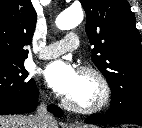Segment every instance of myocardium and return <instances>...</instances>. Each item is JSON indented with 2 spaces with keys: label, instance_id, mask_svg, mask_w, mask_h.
<instances>
[{
  "label": "myocardium",
  "instance_id": "f54148a6",
  "mask_svg": "<svg viewBox=\"0 0 142 128\" xmlns=\"http://www.w3.org/2000/svg\"><path fill=\"white\" fill-rule=\"evenodd\" d=\"M80 74L95 82L98 88V96L94 102L85 105L77 103L70 97H67L64 100L65 106L83 114H92L103 110L111 99V88L106 77L98 69L91 66H83L80 69Z\"/></svg>",
  "mask_w": 142,
  "mask_h": 128
}]
</instances>
